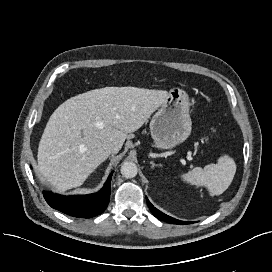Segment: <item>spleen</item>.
I'll list each match as a JSON object with an SVG mask.
<instances>
[{
	"label": "spleen",
	"instance_id": "spleen-1",
	"mask_svg": "<svg viewBox=\"0 0 272 272\" xmlns=\"http://www.w3.org/2000/svg\"><path fill=\"white\" fill-rule=\"evenodd\" d=\"M236 172V163L233 158L224 154L218 159L217 164L196 167L181 175L183 181L191 185L206 186L211 194H222L231 184Z\"/></svg>",
	"mask_w": 272,
	"mask_h": 272
}]
</instances>
